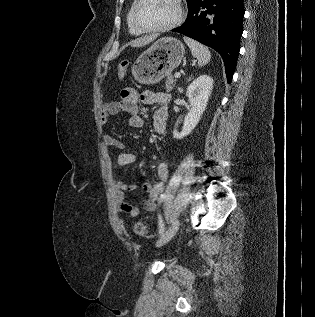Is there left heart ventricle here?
I'll use <instances>...</instances> for the list:
<instances>
[{"instance_id":"1","label":"left heart ventricle","mask_w":315,"mask_h":317,"mask_svg":"<svg viewBox=\"0 0 315 317\" xmlns=\"http://www.w3.org/2000/svg\"><path fill=\"white\" fill-rule=\"evenodd\" d=\"M176 15L175 0H143L137 9L136 18L140 26L150 28L166 25Z\"/></svg>"}]
</instances>
